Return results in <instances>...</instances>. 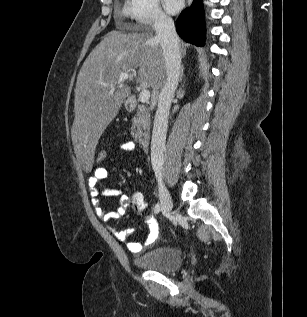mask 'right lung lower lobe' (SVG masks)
<instances>
[{"label":"right lung lower lobe","mask_w":307,"mask_h":317,"mask_svg":"<svg viewBox=\"0 0 307 317\" xmlns=\"http://www.w3.org/2000/svg\"><path fill=\"white\" fill-rule=\"evenodd\" d=\"M176 31L186 42L204 45L205 21L201 0H194L189 8L182 11L176 22Z\"/></svg>","instance_id":"98d812e1"}]
</instances>
